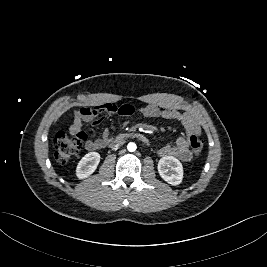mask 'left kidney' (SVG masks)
Wrapping results in <instances>:
<instances>
[{
	"label": "left kidney",
	"instance_id": "5707ae66",
	"mask_svg": "<svg viewBox=\"0 0 267 267\" xmlns=\"http://www.w3.org/2000/svg\"><path fill=\"white\" fill-rule=\"evenodd\" d=\"M158 172L163 180L171 185H179L183 179V166L173 156H164L158 162Z\"/></svg>",
	"mask_w": 267,
	"mask_h": 267
}]
</instances>
